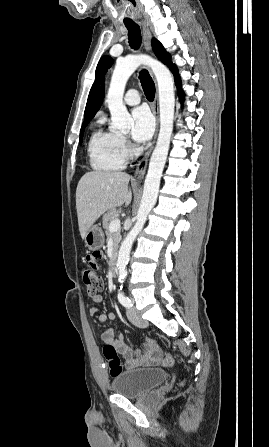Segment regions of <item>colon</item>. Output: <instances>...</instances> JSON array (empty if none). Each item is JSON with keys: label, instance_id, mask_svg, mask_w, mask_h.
<instances>
[{"label": "colon", "instance_id": "obj_1", "mask_svg": "<svg viewBox=\"0 0 269 447\" xmlns=\"http://www.w3.org/2000/svg\"><path fill=\"white\" fill-rule=\"evenodd\" d=\"M102 252L100 250H94L91 253H87V263L82 269V279L86 287V295L88 297H95L97 292L103 288V279L96 271L103 270ZM131 352L128 351V355ZM103 355L108 362V374L111 377L117 378L123 372V366L117 350L109 344L104 345ZM157 362L162 366L167 367L173 365V357L166 355L157 359ZM179 386L184 387L187 384L186 379L181 378L178 381Z\"/></svg>", "mask_w": 269, "mask_h": 447}]
</instances>
